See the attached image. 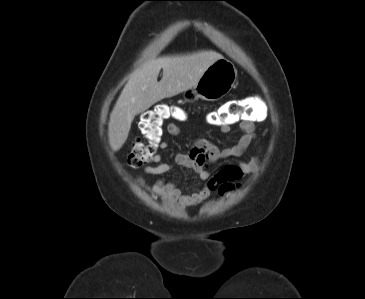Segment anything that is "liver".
<instances>
[{
    "mask_svg": "<svg viewBox=\"0 0 365 299\" xmlns=\"http://www.w3.org/2000/svg\"><path fill=\"white\" fill-rule=\"evenodd\" d=\"M223 58L215 51L152 59L135 70L122 90L110 115L109 144L118 151L128 138L134 117L164 98L194 87L204 71ZM163 69L162 79L157 78Z\"/></svg>",
    "mask_w": 365,
    "mask_h": 299,
    "instance_id": "6515ba94",
    "label": "liver"
}]
</instances>
